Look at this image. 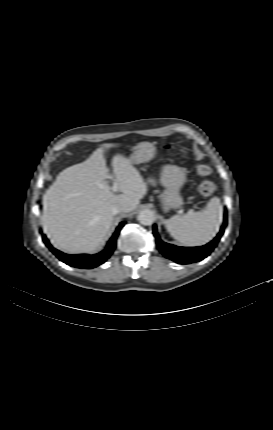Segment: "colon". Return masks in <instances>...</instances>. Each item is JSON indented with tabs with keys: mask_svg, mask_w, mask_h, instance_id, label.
Wrapping results in <instances>:
<instances>
[{
	"mask_svg": "<svg viewBox=\"0 0 273 430\" xmlns=\"http://www.w3.org/2000/svg\"><path fill=\"white\" fill-rule=\"evenodd\" d=\"M196 171L200 176H208L211 173L210 167L200 164L196 167ZM216 186L210 180H203L198 185V191L203 196H211L215 192Z\"/></svg>",
	"mask_w": 273,
	"mask_h": 430,
	"instance_id": "1",
	"label": "colon"
}]
</instances>
